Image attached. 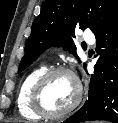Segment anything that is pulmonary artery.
I'll list each match as a JSON object with an SVG mask.
<instances>
[{
  "label": "pulmonary artery",
  "instance_id": "1",
  "mask_svg": "<svg viewBox=\"0 0 118 123\" xmlns=\"http://www.w3.org/2000/svg\"><path fill=\"white\" fill-rule=\"evenodd\" d=\"M84 39L89 42V43H93L94 42V38H93V35H91L90 33L86 32L84 34Z\"/></svg>",
  "mask_w": 118,
  "mask_h": 123
}]
</instances>
